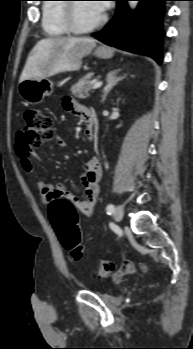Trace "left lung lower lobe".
I'll use <instances>...</instances> for the list:
<instances>
[{
	"instance_id": "obj_1",
	"label": "left lung lower lobe",
	"mask_w": 193,
	"mask_h": 349,
	"mask_svg": "<svg viewBox=\"0 0 193 349\" xmlns=\"http://www.w3.org/2000/svg\"><path fill=\"white\" fill-rule=\"evenodd\" d=\"M115 1L114 18L94 36L107 45L148 55L161 64L162 17L168 0H136L139 5L134 12L127 6L129 0Z\"/></svg>"
}]
</instances>
